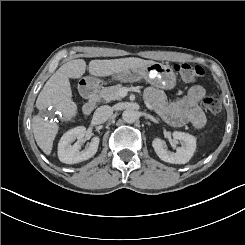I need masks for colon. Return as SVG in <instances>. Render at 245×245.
I'll use <instances>...</instances> for the list:
<instances>
[{"label":"colon","mask_w":245,"mask_h":245,"mask_svg":"<svg viewBox=\"0 0 245 245\" xmlns=\"http://www.w3.org/2000/svg\"><path fill=\"white\" fill-rule=\"evenodd\" d=\"M174 69L187 81H195L203 76L204 70L200 66H193L188 63H178ZM205 108L212 114H217L222 109V102L219 96L210 95L203 100Z\"/></svg>","instance_id":"1"}]
</instances>
